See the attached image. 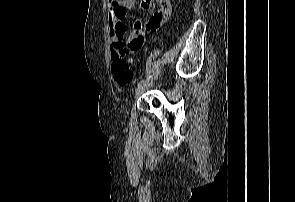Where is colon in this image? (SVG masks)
Returning <instances> with one entry per match:
<instances>
[{
  "label": "colon",
  "mask_w": 295,
  "mask_h": 202,
  "mask_svg": "<svg viewBox=\"0 0 295 202\" xmlns=\"http://www.w3.org/2000/svg\"><path fill=\"white\" fill-rule=\"evenodd\" d=\"M127 54L126 50H119L112 60V74L114 80L120 86H127L133 79V73L126 58Z\"/></svg>",
  "instance_id": "1"
}]
</instances>
